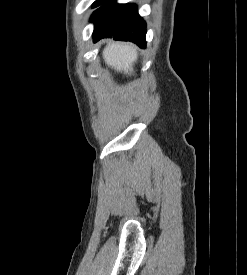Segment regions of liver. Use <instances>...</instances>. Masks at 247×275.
Listing matches in <instances>:
<instances>
[{"instance_id": "6515ba94", "label": "liver", "mask_w": 247, "mask_h": 275, "mask_svg": "<svg viewBox=\"0 0 247 275\" xmlns=\"http://www.w3.org/2000/svg\"><path fill=\"white\" fill-rule=\"evenodd\" d=\"M137 57V49L127 43H109L103 50L106 65L118 72H132Z\"/></svg>"}]
</instances>
